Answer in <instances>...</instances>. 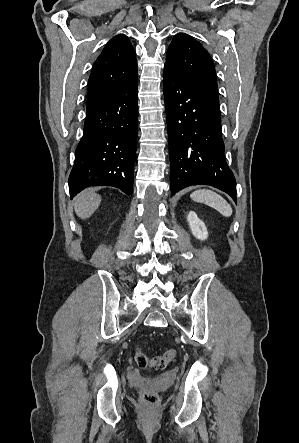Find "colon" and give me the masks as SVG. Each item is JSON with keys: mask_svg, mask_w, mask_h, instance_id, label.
Wrapping results in <instances>:
<instances>
[{"mask_svg": "<svg viewBox=\"0 0 299 443\" xmlns=\"http://www.w3.org/2000/svg\"><path fill=\"white\" fill-rule=\"evenodd\" d=\"M176 357L175 350H168L165 353L148 357L140 348L136 350L135 361L142 369H163ZM140 399L147 405H156L158 395L149 387H144L140 392Z\"/></svg>", "mask_w": 299, "mask_h": 443, "instance_id": "obj_1", "label": "colon"}]
</instances>
